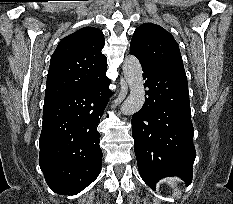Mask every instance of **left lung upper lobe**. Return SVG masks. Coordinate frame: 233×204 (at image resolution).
I'll return each mask as SVG.
<instances>
[{
    "label": "left lung upper lobe",
    "instance_id": "1",
    "mask_svg": "<svg viewBox=\"0 0 233 204\" xmlns=\"http://www.w3.org/2000/svg\"><path fill=\"white\" fill-rule=\"evenodd\" d=\"M130 53L140 63L186 77L177 42L159 25L145 23L139 26L131 40Z\"/></svg>",
    "mask_w": 233,
    "mask_h": 204
}]
</instances>
